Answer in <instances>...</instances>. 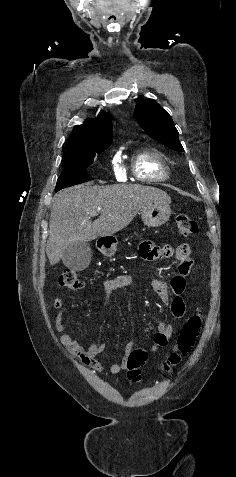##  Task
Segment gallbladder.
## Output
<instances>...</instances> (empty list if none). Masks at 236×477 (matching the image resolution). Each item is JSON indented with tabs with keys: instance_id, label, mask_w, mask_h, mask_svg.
<instances>
[{
	"instance_id": "obj_1",
	"label": "gallbladder",
	"mask_w": 236,
	"mask_h": 477,
	"mask_svg": "<svg viewBox=\"0 0 236 477\" xmlns=\"http://www.w3.org/2000/svg\"><path fill=\"white\" fill-rule=\"evenodd\" d=\"M92 251L88 242L75 241L64 251L63 264L72 271H82L91 261Z\"/></svg>"
}]
</instances>
